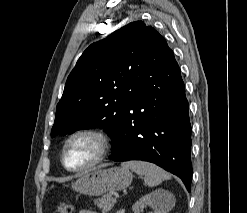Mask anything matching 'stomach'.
I'll return each mask as SVG.
<instances>
[{
  "label": "stomach",
  "mask_w": 247,
  "mask_h": 213,
  "mask_svg": "<svg viewBox=\"0 0 247 213\" xmlns=\"http://www.w3.org/2000/svg\"><path fill=\"white\" fill-rule=\"evenodd\" d=\"M132 177V173L122 167L98 168L83 174L72 184V188L80 194L101 196L127 188L131 184Z\"/></svg>",
  "instance_id": "1"
}]
</instances>
